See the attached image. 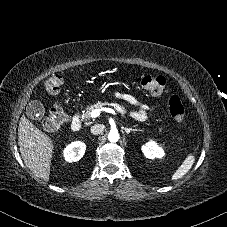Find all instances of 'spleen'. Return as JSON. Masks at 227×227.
<instances>
[{"instance_id": "1", "label": "spleen", "mask_w": 227, "mask_h": 227, "mask_svg": "<svg viewBox=\"0 0 227 227\" xmlns=\"http://www.w3.org/2000/svg\"><path fill=\"white\" fill-rule=\"evenodd\" d=\"M194 162L195 156L193 154H189L182 162V164L178 167V169L174 172L171 177V180L176 181L186 175L188 171L192 168Z\"/></svg>"}]
</instances>
